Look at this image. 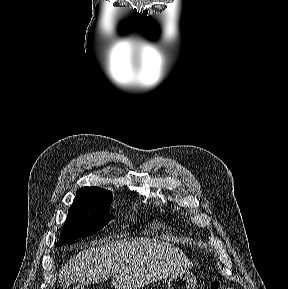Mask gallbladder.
Masks as SVG:
<instances>
[{
    "label": "gallbladder",
    "mask_w": 288,
    "mask_h": 289,
    "mask_svg": "<svg viewBox=\"0 0 288 289\" xmlns=\"http://www.w3.org/2000/svg\"><path fill=\"white\" fill-rule=\"evenodd\" d=\"M69 283L66 281V282H62V285L61 286H68Z\"/></svg>",
    "instance_id": "obj_1"
}]
</instances>
